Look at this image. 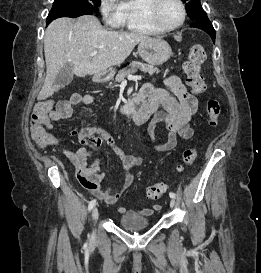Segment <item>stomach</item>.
I'll use <instances>...</instances> for the list:
<instances>
[{"instance_id":"1","label":"stomach","mask_w":261,"mask_h":273,"mask_svg":"<svg viewBox=\"0 0 261 273\" xmlns=\"http://www.w3.org/2000/svg\"><path fill=\"white\" fill-rule=\"evenodd\" d=\"M138 52L141 58L151 65H161L168 61L173 55L170 45L160 38H151L139 42ZM112 75L113 71H111L105 78H96L95 81L107 80Z\"/></svg>"}]
</instances>
